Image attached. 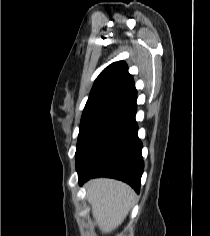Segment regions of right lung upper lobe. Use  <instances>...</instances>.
Returning a JSON list of instances; mask_svg holds the SVG:
<instances>
[{
  "label": "right lung upper lobe",
  "instance_id": "cb5924a9",
  "mask_svg": "<svg viewBox=\"0 0 210 236\" xmlns=\"http://www.w3.org/2000/svg\"><path fill=\"white\" fill-rule=\"evenodd\" d=\"M121 90L136 91L133 78L128 73V67L124 61L114 62L100 73L87 103L108 97Z\"/></svg>",
  "mask_w": 210,
  "mask_h": 236
}]
</instances>
